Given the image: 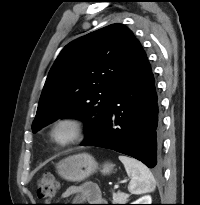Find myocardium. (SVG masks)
<instances>
[{
	"mask_svg": "<svg viewBox=\"0 0 200 205\" xmlns=\"http://www.w3.org/2000/svg\"><path fill=\"white\" fill-rule=\"evenodd\" d=\"M67 129L68 135L64 139L58 138L61 129ZM85 133L84 121L74 114H66L57 118L51 125L49 137L51 141L60 147L72 145L81 140Z\"/></svg>",
	"mask_w": 200,
	"mask_h": 205,
	"instance_id": "f54148a6",
	"label": "myocardium"
}]
</instances>
